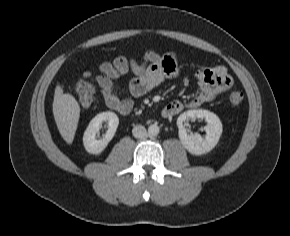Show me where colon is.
<instances>
[{
  "label": "colon",
  "mask_w": 290,
  "mask_h": 236,
  "mask_svg": "<svg viewBox=\"0 0 290 236\" xmlns=\"http://www.w3.org/2000/svg\"><path fill=\"white\" fill-rule=\"evenodd\" d=\"M76 97L79 104L83 107L91 105L95 98V89L91 83V73L85 72L82 78L76 84ZM230 102L234 105L240 104L243 99V93L240 91H233L230 94Z\"/></svg>",
  "instance_id": "1"
}]
</instances>
